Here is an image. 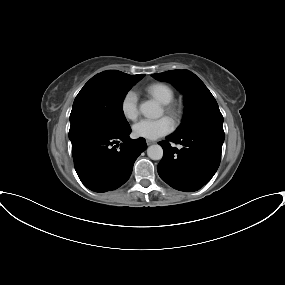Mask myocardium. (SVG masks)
Wrapping results in <instances>:
<instances>
[{
	"label": "myocardium",
	"instance_id": "obj_1",
	"mask_svg": "<svg viewBox=\"0 0 285 285\" xmlns=\"http://www.w3.org/2000/svg\"><path fill=\"white\" fill-rule=\"evenodd\" d=\"M165 111L171 117L178 120L183 115L184 107L179 102L171 101L170 103L165 104Z\"/></svg>",
	"mask_w": 285,
	"mask_h": 285
}]
</instances>
